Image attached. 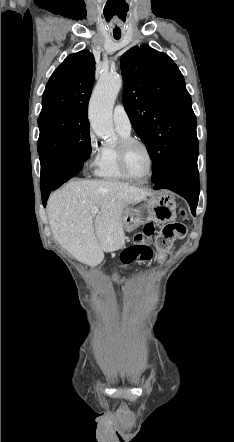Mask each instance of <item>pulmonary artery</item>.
I'll use <instances>...</instances> for the list:
<instances>
[{
    "label": "pulmonary artery",
    "mask_w": 234,
    "mask_h": 442,
    "mask_svg": "<svg viewBox=\"0 0 234 442\" xmlns=\"http://www.w3.org/2000/svg\"><path fill=\"white\" fill-rule=\"evenodd\" d=\"M113 122L116 130L126 134L131 132V121L122 104H117L113 110Z\"/></svg>",
    "instance_id": "e3ab8cb5"
}]
</instances>
